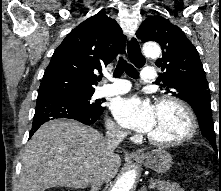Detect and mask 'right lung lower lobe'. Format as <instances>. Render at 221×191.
<instances>
[{"instance_id": "98d812e1", "label": "right lung lower lobe", "mask_w": 221, "mask_h": 191, "mask_svg": "<svg viewBox=\"0 0 221 191\" xmlns=\"http://www.w3.org/2000/svg\"><path fill=\"white\" fill-rule=\"evenodd\" d=\"M104 110L105 107L100 111L89 113L70 94L64 92L38 93L36 111L29 138L43 123L49 120L68 118L91 125L100 118Z\"/></svg>"}]
</instances>
